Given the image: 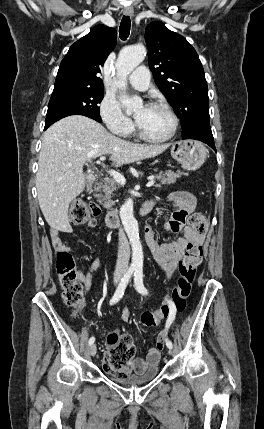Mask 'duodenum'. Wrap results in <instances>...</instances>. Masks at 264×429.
Masks as SVG:
<instances>
[{"mask_svg": "<svg viewBox=\"0 0 264 429\" xmlns=\"http://www.w3.org/2000/svg\"><path fill=\"white\" fill-rule=\"evenodd\" d=\"M97 180V177L95 175H90L88 177L89 184H93ZM152 208V204L150 202L144 203L139 213L140 215L147 214ZM105 223L108 227H116L120 223L119 213L117 211H109L105 216Z\"/></svg>", "mask_w": 264, "mask_h": 429, "instance_id": "obj_1", "label": "duodenum"}]
</instances>
